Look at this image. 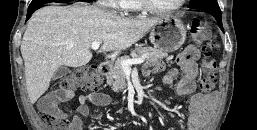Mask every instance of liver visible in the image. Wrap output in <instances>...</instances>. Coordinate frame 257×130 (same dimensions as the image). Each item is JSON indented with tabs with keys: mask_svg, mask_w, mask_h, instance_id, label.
Instances as JSON below:
<instances>
[{
	"mask_svg": "<svg viewBox=\"0 0 257 130\" xmlns=\"http://www.w3.org/2000/svg\"><path fill=\"white\" fill-rule=\"evenodd\" d=\"M158 21L123 18L94 7L39 9L29 20L21 42L31 103L48 90L59 67L86 65L93 56V42H103L99 52L122 51L139 41Z\"/></svg>",
	"mask_w": 257,
	"mask_h": 130,
	"instance_id": "liver-1",
	"label": "liver"
}]
</instances>
